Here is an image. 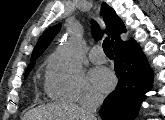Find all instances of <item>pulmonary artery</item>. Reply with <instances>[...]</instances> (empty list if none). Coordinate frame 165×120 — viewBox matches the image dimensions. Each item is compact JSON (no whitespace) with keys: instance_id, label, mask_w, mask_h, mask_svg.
Here are the masks:
<instances>
[{"instance_id":"obj_1","label":"pulmonary artery","mask_w":165,"mask_h":120,"mask_svg":"<svg viewBox=\"0 0 165 120\" xmlns=\"http://www.w3.org/2000/svg\"><path fill=\"white\" fill-rule=\"evenodd\" d=\"M89 57L95 63H102L106 60V56L100 46H94L89 52Z\"/></svg>"}]
</instances>
